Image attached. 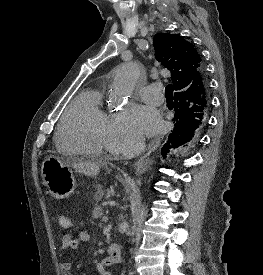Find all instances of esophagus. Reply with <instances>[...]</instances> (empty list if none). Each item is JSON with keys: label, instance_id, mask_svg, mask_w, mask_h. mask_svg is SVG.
<instances>
[{"label": "esophagus", "instance_id": "obj_1", "mask_svg": "<svg viewBox=\"0 0 263 275\" xmlns=\"http://www.w3.org/2000/svg\"><path fill=\"white\" fill-rule=\"evenodd\" d=\"M162 138H163V135L159 136L156 140L152 141L149 144L147 153L143 157H141L136 163L137 171H141V170L144 169L143 159L148 157L153 151H155L157 149V147L159 146Z\"/></svg>", "mask_w": 263, "mask_h": 275}]
</instances>
